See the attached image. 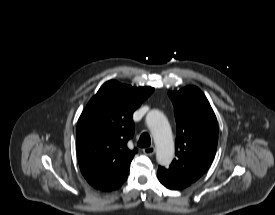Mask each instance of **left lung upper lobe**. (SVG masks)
Segmentation results:
<instances>
[{
  "label": "left lung upper lobe",
  "mask_w": 275,
  "mask_h": 215,
  "mask_svg": "<svg viewBox=\"0 0 275 215\" xmlns=\"http://www.w3.org/2000/svg\"><path fill=\"white\" fill-rule=\"evenodd\" d=\"M177 125L175 158L165 170L176 180L189 184L198 180L210 167L217 149L216 116L204 93L188 86L169 92Z\"/></svg>",
  "instance_id": "left-lung-upper-lobe-1"
}]
</instances>
